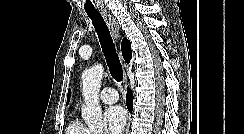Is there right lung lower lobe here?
<instances>
[{"label":"right lung lower lobe","instance_id":"right-lung-lower-lobe-1","mask_svg":"<svg viewBox=\"0 0 244 134\" xmlns=\"http://www.w3.org/2000/svg\"><path fill=\"white\" fill-rule=\"evenodd\" d=\"M126 104L128 110L131 112L133 109V94L129 88L127 89Z\"/></svg>","mask_w":244,"mask_h":134}]
</instances>
